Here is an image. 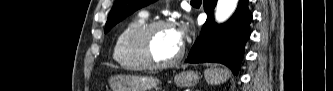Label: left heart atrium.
<instances>
[{
  "instance_id": "39dd6f15",
  "label": "left heart atrium",
  "mask_w": 333,
  "mask_h": 91,
  "mask_svg": "<svg viewBox=\"0 0 333 91\" xmlns=\"http://www.w3.org/2000/svg\"><path fill=\"white\" fill-rule=\"evenodd\" d=\"M174 33L178 43L182 45L186 36V28L184 26L174 28Z\"/></svg>"
}]
</instances>
